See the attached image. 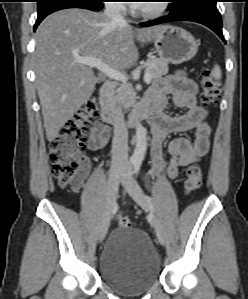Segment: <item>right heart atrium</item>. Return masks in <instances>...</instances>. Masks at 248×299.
Instances as JSON below:
<instances>
[{"instance_id":"obj_1","label":"right heart atrium","mask_w":248,"mask_h":299,"mask_svg":"<svg viewBox=\"0 0 248 299\" xmlns=\"http://www.w3.org/2000/svg\"><path fill=\"white\" fill-rule=\"evenodd\" d=\"M112 2H122L120 0H113ZM115 10H122V8H114Z\"/></svg>"}]
</instances>
